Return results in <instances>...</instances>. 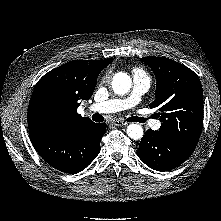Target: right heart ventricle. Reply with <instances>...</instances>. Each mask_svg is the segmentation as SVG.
Here are the masks:
<instances>
[{"label": "right heart ventricle", "mask_w": 221, "mask_h": 221, "mask_svg": "<svg viewBox=\"0 0 221 221\" xmlns=\"http://www.w3.org/2000/svg\"><path fill=\"white\" fill-rule=\"evenodd\" d=\"M135 74H144V72L142 70L137 69L135 70Z\"/></svg>", "instance_id": "obj_1"}]
</instances>
